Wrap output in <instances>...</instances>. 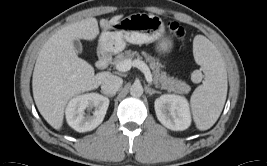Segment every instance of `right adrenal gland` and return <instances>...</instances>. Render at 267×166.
<instances>
[{
	"mask_svg": "<svg viewBox=\"0 0 267 166\" xmlns=\"http://www.w3.org/2000/svg\"><path fill=\"white\" fill-rule=\"evenodd\" d=\"M101 93H103L102 91H101ZM108 97H113L114 95H107Z\"/></svg>",
	"mask_w": 267,
	"mask_h": 166,
	"instance_id": "1",
	"label": "right adrenal gland"
}]
</instances>
